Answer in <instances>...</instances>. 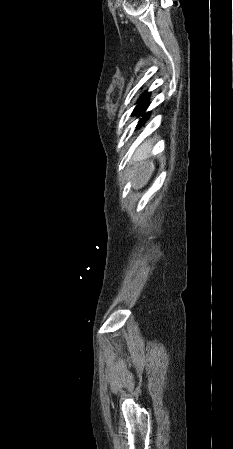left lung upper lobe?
<instances>
[{
    "mask_svg": "<svg viewBox=\"0 0 233 449\" xmlns=\"http://www.w3.org/2000/svg\"><path fill=\"white\" fill-rule=\"evenodd\" d=\"M149 96L150 93L144 92L142 94V96L140 97L139 101L137 102V106L135 107L134 111L140 115H142L144 113V111L147 109L148 107V100H149ZM134 114V113H133ZM146 115V114H145ZM145 115L143 116L142 119H140L139 124H141V122L143 121Z\"/></svg>",
    "mask_w": 233,
    "mask_h": 449,
    "instance_id": "obj_1",
    "label": "left lung upper lobe"
}]
</instances>
